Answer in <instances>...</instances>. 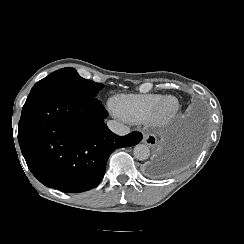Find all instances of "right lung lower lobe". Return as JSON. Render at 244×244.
Here are the masks:
<instances>
[{"label":"right lung lower lobe","mask_w":244,"mask_h":244,"mask_svg":"<svg viewBox=\"0 0 244 244\" xmlns=\"http://www.w3.org/2000/svg\"><path fill=\"white\" fill-rule=\"evenodd\" d=\"M107 116L95 97L30 93L18 124V141L33 175L45 186L67 193L97 186L110 154L142 140L138 132L124 137L112 133L104 123Z\"/></svg>","instance_id":"1"}]
</instances>
